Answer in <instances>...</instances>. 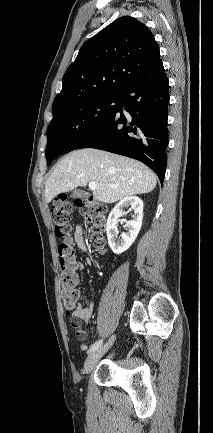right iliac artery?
I'll use <instances>...</instances> for the list:
<instances>
[{"label":"right iliac artery","mask_w":213,"mask_h":433,"mask_svg":"<svg viewBox=\"0 0 213 433\" xmlns=\"http://www.w3.org/2000/svg\"><path fill=\"white\" fill-rule=\"evenodd\" d=\"M102 341L103 340H98L94 344H92L88 352L91 353V352L95 351L96 349H98L101 346Z\"/></svg>","instance_id":"1"}]
</instances>
